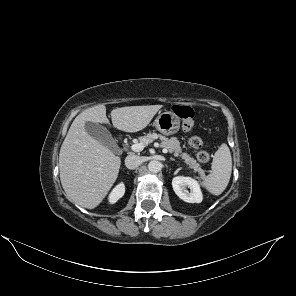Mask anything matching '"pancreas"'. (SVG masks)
I'll return each instance as SVG.
<instances>
[{
	"label": "pancreas",
	"mask_w": 296,
	"mask_h": 296,
	"mask_svg": "<svg viewBox=\"0 0 296 296\" xmlns=\"http://www.w3.org/2000/svg\"><path fill=\"white\" fill-rule=\"evenodd\" d=\"M158 137L162 141L160 143L161 147L166 148L170 153H173L174 156L181 157L189 168L193 169L194 172H198L201 176H204V171L201 169V165L189 154L182 152L180 142L176 137L168 139L164 136L157 135L156 133H148L146 136L139 138V140L145 145H148Z\"/></svg>",
	"instance_id": "1"
}]
</instances>
